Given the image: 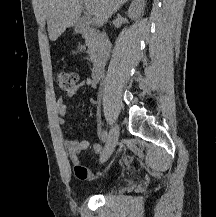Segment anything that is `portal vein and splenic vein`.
<instances>
[{"label": "portal vein and splenic vein", "mask_w": 216, "mask_h": 217, "mask_svg": "<svg viewBox=\"0 0 216 217\" xmlns=\"http://www.w3.org/2000/svg\"><path fill=\"white\" fill-rule=\"evenodd\" d=\"M84 4H85V9H86L87 13L93 14V11H92L90 5L87 2H84Z\"/></svg>", "instance_id": "1"}]
</instances>
